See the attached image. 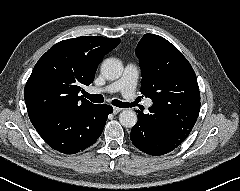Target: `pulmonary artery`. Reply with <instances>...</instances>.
Masks as SVG:
<instances>
[{
  "mask_svg": "<svg viewBox=\"0 0 240 191\" xmlns=\"http://www.w3.org/2000/svg\"><path fill=\"white\" fill-rule=\"evenodd\" d=\"M138 80V69L133 64H128L125 67L124 73L120 79L109 84L104 88H91L92 93H101V92H121L122 96L128 100L133 101L136 97V84ZM145 106L147 108L151 107L153 102L150 99L145 101Z\"/></svg>",
  "mask_w": 240,
  "mask_h": 191,
  "instance_id": "1",
  "label": "pulmonary artery"
}]
</instances>
